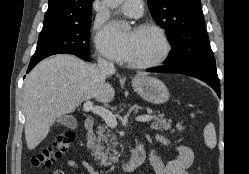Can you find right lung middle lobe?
Listing matches in <instances>:
<instances>
[{"label": "right lung middle lobe", "instance_id": "dd1d6c3e", "mask_svg": "<svg viewBox=\"0 0 249 174\" xmlns=\"http://www.w3.org/2000/svg\"><path fill=\"white\" fill-rule=\"evenodd\" d=\"M91 18L79 23H69L42 29L37 48L30 62L54 54H90Z\"/></svg>", "mask_w": 249, "mask_h": 174}]
</instances>
